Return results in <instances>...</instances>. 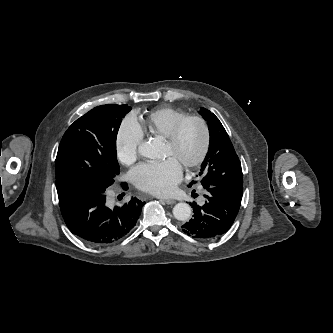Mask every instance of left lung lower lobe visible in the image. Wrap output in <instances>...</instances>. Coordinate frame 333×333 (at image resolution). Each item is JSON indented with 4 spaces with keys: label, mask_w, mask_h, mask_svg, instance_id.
Instances as JSON below:
<instances>
[{
    "label": "left lung lower lobe",
    "mask_w": 333,
    "mask_h": 333,
    "mask_svg": "<svg viewBox=\"0 0 333 333\" xmlns=\"http://www.w3.org/2000/svg\"><path fill=\"white\" fill-rule=\"evenodd\" d=\"M206 202H193V219L185 223L183 231L198 239L216 238L229 230L240 208L243 186L221 187L202 185Z\"/></svg>",
    "instance_id": "left-lung-lower-lobe-1"
}]
</instances>
